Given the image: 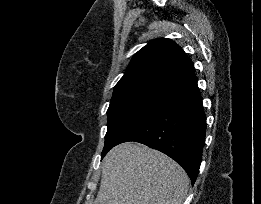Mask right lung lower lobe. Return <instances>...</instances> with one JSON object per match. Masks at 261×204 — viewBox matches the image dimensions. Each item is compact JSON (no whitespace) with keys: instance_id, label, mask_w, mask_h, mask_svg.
<instances>
[{"instance_id":"98d812e1","label":"right lung lower lobe","mask_w":261,"mask_h":204,"mask_svg":"<svg viewBox=\"0 0 261 204\" xmlns=\"http://www.w3.org/2000/svg\"><path fill=\"white\" fill-rule=\"evenodd\" d=\"M197 80L195 76L167 93L163 101L125 132L114 146L135 141L157 149L180 164L194 184L206 132V115Z\"/></svg>"}]
</instances>
